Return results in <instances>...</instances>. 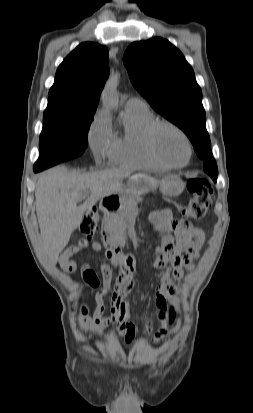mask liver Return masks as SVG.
Segmentation results:
<instances>
[{"mask_svg": "<svg viewBox=\"0 0 253 413\" xmlns=\"http://www.w3.org/2000/svg\"><path fill=\"white\" fill-rule=\"evenodd\" d=\"M128 176V172L119 169L79 173L64 166L40 174L35 189L36 213L42 251L52 264L57 263L85 211L99 199L118 192ZM85 192L90 196L78 206V199Z\"/></svg>", "mask_w": 253, "mask_h": 413, "instance_id": "6515ba94", "label": "liver"}]
</instances>
